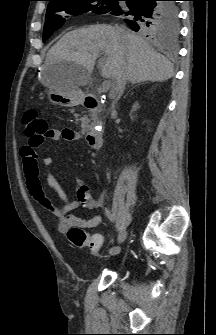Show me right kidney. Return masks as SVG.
I'll return each instance as SVG.
<instances>
[{"instance_id": "right-kidney-1", "label": "right kidney", "mask_w": 216, "mask_h": 335, "mask_svg": "<svg viewBox=\"0 0 216 335\" xmlns=\"http://www.w3.org/2000/svg\"><path fill=\"white\" fill-rule=\"evenodd\" d=\"M139 108V104L136 102V103H134V105L132 106V110H131V113H130V118L133 120V116H132V113L134 112V111H136L137 109Z\"/></svg>"}]
</instances>
